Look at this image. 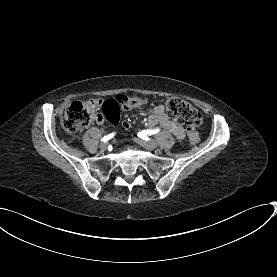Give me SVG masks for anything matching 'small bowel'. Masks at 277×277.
<instances>
[{
    "label": "small bowel",
    "mask_w": 277,
    "mask_h": 277,
    "mask_svg": "<svg viewBox=\"0 0 277 277\" xmlns=\"http://www.w3.org/2000/svg\"><path fill=\"white\" fill-rule=\"evenodd\" d=\"M148 125H160L180 140L183 139L185 136L184 128L168 117L162 104H157L151 109L148 117ZM124 126L129 127V124L125 122Z\"/></svg>",
    "instance_id": "c3829d8e"
}]
</instances>
